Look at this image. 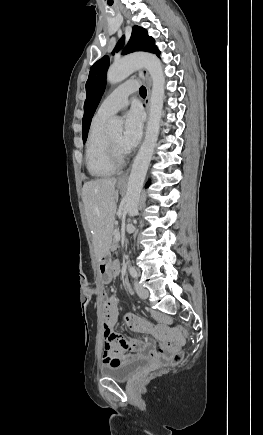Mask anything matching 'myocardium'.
<instances>
[{"instance_id": "f54148a6", "label": "myocardium", "mask_w": 263, "mask_h": 435, "mask_svg": "<svg viewBox=\"0 0 263 435\" xmlns=\"http://www.w3.org/2000/svg\"><path fill=\"white\" fill-rule=\"evenodd\" d=\"M106 147L108 156L115 167H121L125 163L126 154L122 148L115 146L109 137H106Z\"/></svg>"}]
</instances>
